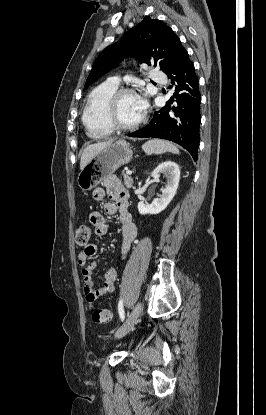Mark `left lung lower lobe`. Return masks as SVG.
Here are the masks:
<instances>
[{
    "label": "left lung lower lobe",
    "mask_w": 266,
    "mask_h": 415,
    "mask_svg": "<svg viewBox=\"0 0 266 415\" xmlns=\"http://www.w3.org/2000/svg\"><path fill=\"white\" fill-rule=\"evenodd\" d=\"M168 77L175 93L165 107L154 113L144 128L128 134L131 137H152L173 141L185 148L197 161L200 142L199 81L188 54Z\"/></svg>",
    "instance_id": "left-lung-lower-lobe-1"
}]
</instances>
